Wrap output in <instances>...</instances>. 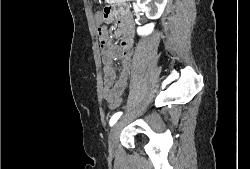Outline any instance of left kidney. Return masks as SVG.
I'll use <instances>...</instances> for the list:
<instances>
[{"mask_svg":"<svg viewBox=\"0 0 250 169\" xmlns=\"http://www.w3.org/2000/svg\"><path fill=\"white\" fill-rule=\"evenodd\" d=\"M137 4L140 10L145 12L147 18H160L162 12H164L167 0H137ZM154 26V22H149L145 26H138L137 32L141 36H147V34L153 32Z\"/></svg>","mask_w":250,"mask_h":169,"instance_id":"1","label":"left kidney"}]
</instances>
